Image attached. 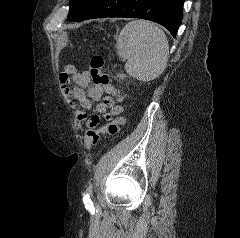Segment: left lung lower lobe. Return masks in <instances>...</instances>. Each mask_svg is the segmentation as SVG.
<instances>
[{"label": "left lung lower lobe", "mask_w": 240, "mask_h": 238, "mask_svg": "<svg viewBox=\"0 0 240 238\" xmlns=\"http://www.w3.org/2000/svg\"><path fill=\"white\" fill-rule=\"evenodd\" d=\"M184 0H91L75 18L79 22L104 17L141 18L157 22L176 36L182 20Z\"/></svg>", "instance_id": "obj_1"}]
</instances>
